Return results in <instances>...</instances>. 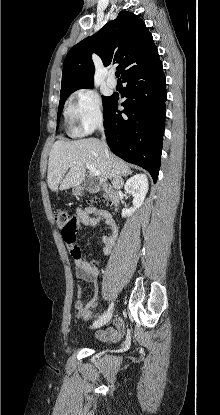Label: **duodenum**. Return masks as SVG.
<instances>
[{
    "mask_svg": "<svg viewBox=\"0 0 220 415\" xmlns=\"http://www.w3.org/2000/svg\"><path fill=\"white\" fill-rule=\"evenodd\" d=\"M87 191L88 192H95V191L104 192L106 195H108L111 198L114 208L117 209V207L119 205V198H118V194H117L115 188H113L112 186L103 185V186H100V187H87Z\"/></svg>",
    "mask_w": 220,
    "mask_h": 415,
    "instance_id": "duodenum-1",
    "label": "duodenum"
}]
</instances>
